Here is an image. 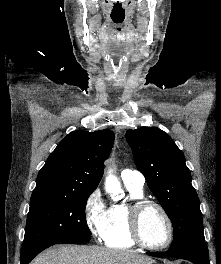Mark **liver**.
Returning <instances> with one entry per match:
<instances>
[{"label":"liver","mask_w":221,"mask_h":264,"mask_svg":"<svg viewBox=\"0 0 221 264\" xmlns=\"http://www.w3.org/2000/svg\"><path fill=\"white\" fill-rule=\"evenodd\" d=\"M152 260L132 251L99 246H59L48 249L30 264H150Z\"/></svg>","instance_id":"1"}]
</instances>
